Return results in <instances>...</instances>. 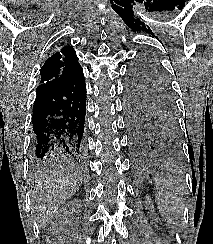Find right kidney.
I'll use <instances>...</instances> for the list:
<instances>
[{
	"mask_svg": "<svg viewBox=\"0 0 213 244\" xmlns=\"http://www.w3.org/2000/svg\"><path fill=\"white\" fill-rule=\"evenodd\" d=\"M81 204H82L81 200L74 199L67 203L66 208H80Z\"/></svg>",
	"mask_w": 213,
	"mask_h": 244,
	"instance_id": "ca27d5eb",
	"label": "right kidney"
}]
</instances>
